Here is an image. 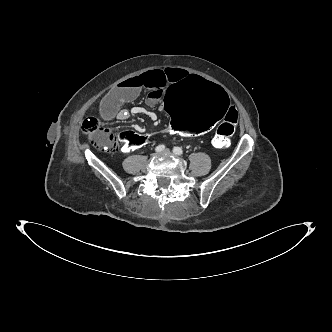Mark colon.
Segmentation results:
<instances>
[{"label":"colon","instance_id":"obj_1","mask_svg":"<svg viewBox=\"0 0 332 332\" xmlns=\"http://www.w3.org/2000/svg\"><path fill=\"white\" fill-rule=\"evenodd\" d=\"M230 109V97L221 85L197 75H188L178 80L164 98L163 110L168 120L165 130L171 134L198 136L220 123L213 144L226 147L238 121L237 112ZM81 129L92 145L108 152L119 149L120 153H125L126 149L134 150L154 141L150 132L125 131L121 133L123 146H120L114 134L94 117L86 118Z\"/></svg>","mask_w":332,"mask_h":332}]
</instances>
